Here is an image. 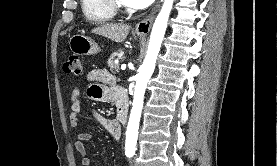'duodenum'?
Wrapping results in <instances>:
<instances>
[{
    "mask_svg": "<svg viewBox=\"0 0 277 166\" xmlns=\"http://www.w3.org/2000/svg\"><path fill=\"white\" fill-rule=\"evenodd\" d=\"M115 104L117 106L118 122L120 127V125L126 124L129 109L128 95L124 90L120 88L116 91L115 94Z\"/></svg>",
    "mask_w": 277,
    "mask_h": 166,
    "instance_id": "1",
    "label": "duodenum"
}]
</instances>
